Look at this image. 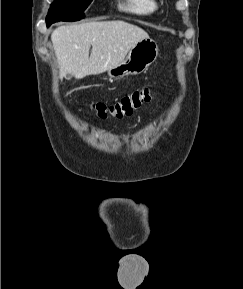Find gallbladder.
<instances>
[{"instance_id": "gallbladder-1", "label": "gallbladder", "mask_w": 243, "mask_h": 289, "mask_svg": "<svg viewBox=\"0 0 243 289\" xmlns=\"http://www.w3.org/2000/svg\"><path fill=\"white\" fill-rule=\"evenodd\" d=\"M67 80H70L72 78V75L71 74H67L66 77H65Z\"/></svg>"}]
</instances>
